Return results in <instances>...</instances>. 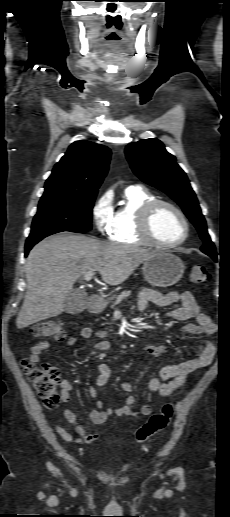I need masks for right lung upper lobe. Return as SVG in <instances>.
<instances>
[{
	"label": "right lung upper lobe",
	"mask_w": 230,
	"mask_h": 517,
	"mask_svg": "<svg viewBox=\"0 0 230 517\" xmlns=\"http://www.w3.org/2000/svg\"><path fill=\"white\" fill-rule=\"evenodd\" d=\"M111 151L89 141H76L54 166L42 197L93 194L106 176Z\"/></svg>",
	"instance_id": "right-lung-upper-lobe-1"
}]
</instances>
